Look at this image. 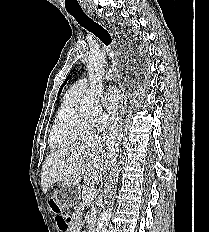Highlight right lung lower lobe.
<instances>
[{"mask_svg": "<svg viewBox=\"0 0 209 232\" xmlns=\"http://www.w3.org/2000/svg\"><path fill=\"white\" fill-rule=\"evenodd\" d=\"M136 70L138 73L142 72V66H140V64H138V66L136 67Z\"/></svg>", "mask_w": 209, "mask_h": 232, "instance_id": "right-lung-lower-lobe-1", "label": "right lung lower lobe"}]
</instances>
